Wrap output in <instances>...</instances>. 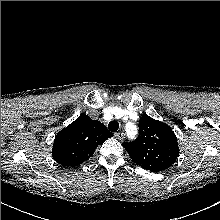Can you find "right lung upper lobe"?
<instances>
[{"mask_svg":"<svg viewBox=\"0 0 220 220\" xmlns=\"http://www.w3.org/2000/svg\"><path fill=\"white\" fill-rule=\"evenodd\" d=\"M112 136L104 124L83 114L56 135L52 156L63 166L76 167Z\"/></svg>","mask_w":220,"mask_h":220,"instance_id":"cb5924a9","label":"right lung upper lobe"}]
</instances>
